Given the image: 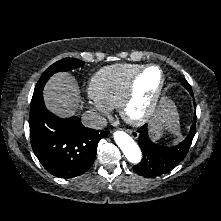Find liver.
<instances>
[{
  "mask_svg": "<svg viewBox=\"0 0 221 221\" xmlns=\"http://www.w3.org/2000/svg\"><path fill=\"white\" fill-rule=\"evenodd\" d=\"M43 96L48 110L62 117L74 115L80 107L78 84L67 72L53 75L44 87ZM158 111L169 128H178V112L172 101H164Z\"/></svg>",
  "mask_w": 221,
  "mask_h": 221,
  "instance_id": "liver-1",
  "label": "liver"
}]
</instances>
